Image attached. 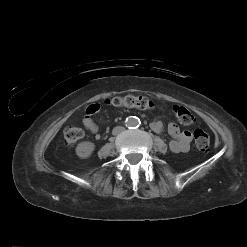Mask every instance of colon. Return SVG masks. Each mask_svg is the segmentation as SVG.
<instances>
[{
    "label": "colon",
    "mask_w": 247,
    "mask_h": 247,
    "mask_svg": "<svg viewBox=\"0 0 247 247\" xmlns=\"http://www.w3.org/2000/svg\"><path fill=\"white\" fill-rule=\"evenodd\" d=\"M106 103L114 107L135 108L143 111H149L154 107L153 102L148 98L133 94L116 96L108 99ZM174 114L176 119L183 125H191L195 121L193 114L184 106H175ZM82 136V130L77 127H67L64 130V141L68 146L75 145L82 138ZM193 136L197 149L205 151L209 148L210 137L207 132L202 129H196Z\"/></svg>",
    "instance_id": "obj_1"
}]
</instances>
